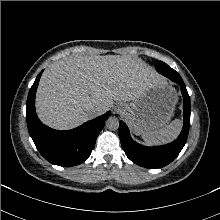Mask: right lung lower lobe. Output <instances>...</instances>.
<instances>
[{"label": "right lung lower lobe", "instance_id": "1", "mask_svg": "<svg viewBox=\"0 0 220 220\" xmlns=\"http://www.w3.org/2000/svg\"><path fill=\"white\" fill-rule=\"evenodd\" d=\"M42 72L37 76L27 98V126L40 154L50 163L75 166L83 163L94 149L96 138L104 127L109 112L81 126L58 131L41 123L35 112V95Z\"/></svg>", "mask_w": 220, "mask_h": 220}]
</instances>
